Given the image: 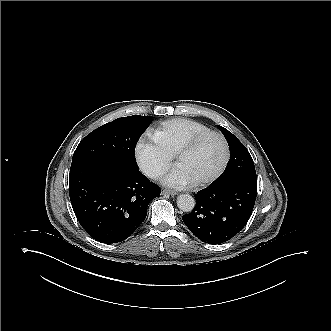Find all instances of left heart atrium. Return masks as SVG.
Listing matches in <instances>:
<instances>
[{
  "mask_svg": "<svg viewBox=\"0 0 331 331\" xmlns=\"http://www.w3.org/2000/svg\"><path fill=\"white\" fill-rule=\"evenodd\" d=\"M163 185L174 189H186L193 185L192 177L180 166L174 167L162 177Z\"/></svg>",
  "mask_w": 331,
  "mask_h": 331,
  "instance_id": "left-heart-atrium-1",
  "label": "left heart atrium"
}]
</instances>
